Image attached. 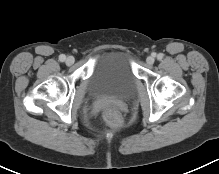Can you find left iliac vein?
<instances>
[{
  "label": "left iliac vein",
  "mask_w": 219,
  "mask_h": 174,
  "mask_svg": "<svg viewBox=\"0 0 219 174\" xmlns=\"http://www.w3.org/2000/svg\"><path fill=\"white\" fill-rule=\"evenodd\" d=\"M155 59L153 56H148L146 59L147 64L152 65L154 63Z\"/></svg>",
  "instance_id": "obj_1"
}]
</instances>
